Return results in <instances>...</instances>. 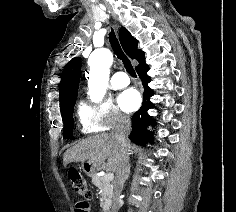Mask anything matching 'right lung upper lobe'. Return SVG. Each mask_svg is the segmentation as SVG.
Returning <instances> with one entry per match:
<instances>
[{
	"instance_id": "obj_1",
	"label": "right lung upper lobe",
	"mask_w": 236,
	"mask_h": 212,
	"mask_svg": "<svg viewBox=\"0 0 236 212\" xmlns=\"http://www.w3.org/2000/svg\"><path fill=\"white\" fill-rule=\"evenodd\" d=\"M119 38L124 51L131 59H136L139 63L144 60V52L137 49L138 41L132 37L126 28H121ZM80 70L81 59L79 57L73 58L64 67L60 82V108L64 107L66 101L76 98Z\"/></svg>"
}]
</instances>
